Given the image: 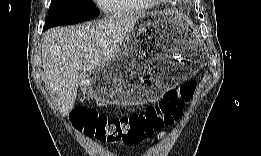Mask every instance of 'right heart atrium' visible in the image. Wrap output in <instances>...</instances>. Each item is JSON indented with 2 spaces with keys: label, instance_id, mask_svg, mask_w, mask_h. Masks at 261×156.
<instances>
[{
  "label": "right heart atrium",
  "instance_id": "right-heart-atrium-1",
  "mask_svg": "<svg viewBox=\"0 0 261 156\" xmlns=\"http://www.w3.org/2000/svg\"><path fill=\"white\" fill-rule=\"evenodd\" d=\"M100 4L105 5V0L100 1Z\"/></svg>",
  "mask_w": 261,
  "mask_h": 156
}]
</instances>
